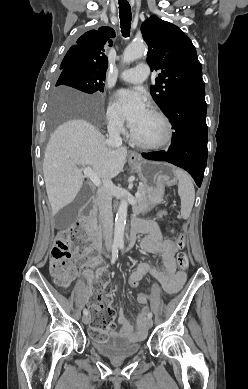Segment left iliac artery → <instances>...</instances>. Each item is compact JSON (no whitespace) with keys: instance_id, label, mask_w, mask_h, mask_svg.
<instances>
[{"instance_id":"left-iliac-artery-1","label":"left iliac artery","mask_w":248,"mask_h":389,"mask_svg":"<svg viewBox=\"0 0 248 389\" xmlns=\"http://www.w3.org/2000/svg\"><path fill=\"white\" fill-rule=\"evenodd\" d=\"M148 318H152V313L151 312L148 313Z\"/></svg>"}]
</instances>
